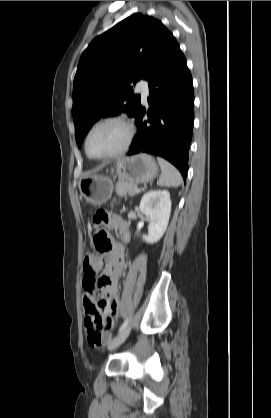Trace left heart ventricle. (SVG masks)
<instances>
[{"label":"left heart ventricle","instance_id":"left-heart-ventricle-1","mask_svg":"<svg viewBox=\"0 0 271 418\" xmlns=\"http://www.w3.org/2000/svg\"><path fill=\"white\" fill-rule=\"evenodd\" d=\"M126 139V131L118 123L104 124L91 134L88 148L93 156H103L118 150Z\"/></svg>","mask_w":271,"mask_h":418}]
</instances>
